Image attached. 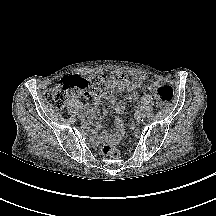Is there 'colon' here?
I'll return each instance as SVG.
<instances>
[{
  "instance_id": "obj_1",
  "label": "colon",
  "mask_w": 216,
  "mask_h": 216,
  "mask_svg": "<svg viewBox=\"0 0 216 216\" xmlns=\"http://www.w3.org/2000/svg\"><path fill=\"white\" fill-rule=\"evenodd\" d=\"M89 88V82L78 75L65 76L61 83L45 94L46 102L56 109H63L67 101L77 93L83 92ZM156 94L163 103H170L174 98V91L169 85H160L157 87ZM100 152L104 156L119 158L120 151L113 145H104Z\"/></svg>"
}]
</instances>
